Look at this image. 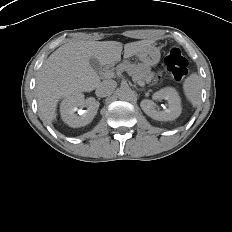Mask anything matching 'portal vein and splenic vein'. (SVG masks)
<instances>
[{"instance_id":"portal-vein-and-splenic-vein-1","label":"portal vein and splenic vein","mask_w":232,"mask_h":232,"mask_svg":"<svg viewBox=\"0 0 232 232\" xmlns=\"http://www.w3.org/2000/svg\"><path fill=\"white\" fill-rule=\"evenodd\" d=\"M107 74H108L109 76H113V75H114V73L111 72V71H109ZM138 84L141 85V86H144V82H139Z\"/></svg>"}]
</instances>
